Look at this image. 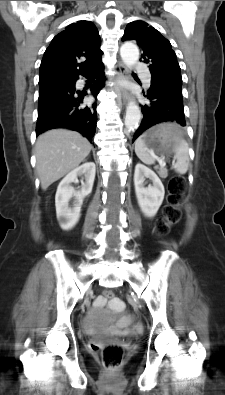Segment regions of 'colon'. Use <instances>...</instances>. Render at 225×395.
<instances>
[{"instance_id": "colon-1", "label": "colon", "mask_w": 225, "mask_h": 395, "mask_svg": "<svg viewBox=\"0 0 225 395\" xmlns=\"http://www.w3.org/2000/svg\"><path fill=\"white\" fill-rule=\"evenodd\" d=\"M185 180L180 176L173 177L168 182V199L167 205L163 209V216L155 225V232L158 235H166L171 226L177 224L180 220L179 204L185 192ZM103 295L110 301L113 297L111 289H104ZM93 348L99 352L103 364L107 368L118 367L125 355V347L120 341H110L102 344L95 343Z\"/></svg>"}]
</instances>
